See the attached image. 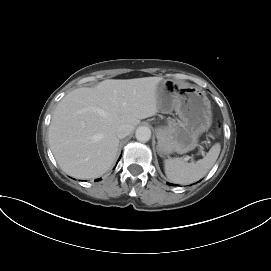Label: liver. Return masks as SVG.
<instances>
[{"label": "liver", "mask_w": 271, "mask_h": 271, "mask_svg": "<svg viewBox=\"0 0 271 271\" xmlns=\"http://www.w3.org/2000/svg\"><path fill=\"white\" fill-rule=\"evenodd\" d=\"M163 79H107L94 88L69 92L54 110L48 137L60 168L79 179L103 175L115 161L116 130L157 114V86Z\"/></svg>", "instance_id": "obj_1"}]
</instances>
